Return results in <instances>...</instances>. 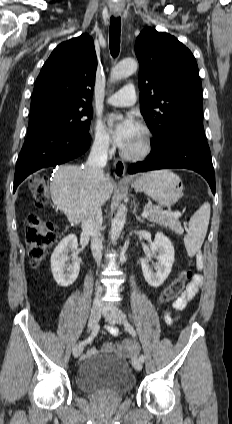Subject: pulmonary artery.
<instances>
[{
    "instance_id": "pulmonary-artery-1",
    "label": "pulmonary artery",
    "mask_w": 232,
    "mask_h": 424,
    "mask_svg": "<svg viewBox=\"0 0 232 424\" xmlns=\"http://www.w3.org/2000/svg\"><path fill=\"white\" fill-rule=\"evenodd\" d=\"M137 92L133 84L124 86L107 99V103L117 107L131 106L136 102Z\"/></svg>"
}]
</instances>
